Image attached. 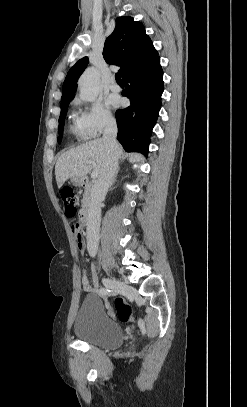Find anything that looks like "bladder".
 <instances>
[{
    "instance_id": "1",
    "label": "bladder",
    "mask_w": 247,
    "mask_h": 407,
    "mask_svg": "<svg viewBox=\"0 0 247 407\" xmlns=\"http://www.w3.org/2000/svg\"><path fill=\"white\" fill-rule=\"evenodd\" d=\"M74 333L81 341L110 350L124 342L122 326L108 315L103 302L95 295L83 299L75 319Z\"/></svg>"
}]
</instances>
